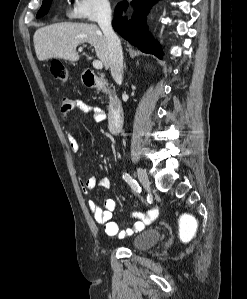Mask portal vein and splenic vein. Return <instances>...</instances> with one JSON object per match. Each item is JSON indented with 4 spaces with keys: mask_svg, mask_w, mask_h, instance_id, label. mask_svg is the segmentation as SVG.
<instances>
[{
    "mask_svg": "<svg viewBox=\"0 0 247 299\" xmlns=\"http://www.w3.org/2000/svg\"><path fill=\"white\" fill-rule=\"evenodd\" d=\"M79 51H82V48H79ZM93 67L95 69H102L103 68V63L100 60H94L93 61Z\"/></svg>",
    "mask_w": 247,
    "mask_h": 299,
    "instance_id": "portal-vein-and-splenic-vein-1",
    "label": "portal vein and splenic vein"
}]
</instances>
